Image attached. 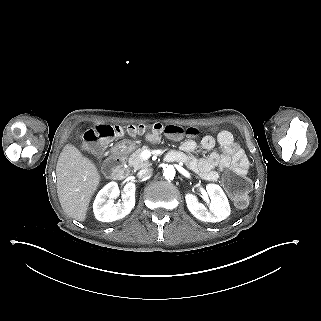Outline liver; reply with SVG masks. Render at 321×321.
<instances>
[{
    "mask_svg": "<svg viewBox=\"0 0 321 321\" xmlns=\"http://www.w3.org/2000/svg\"><path fill=\"white\" fill-rule=\"evenodd\" d=\"M56 176L62 209L71 218L84 222L92 196L101 183L95 163L77 147L67 144L59 155Z\"/></svg>",
    "mask_w": 321,
    "mask_h": 321,
    "instance_id": "liver-1",
    "label": "liver"
}]
</instances>
